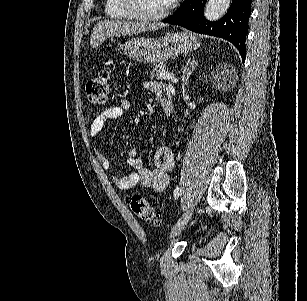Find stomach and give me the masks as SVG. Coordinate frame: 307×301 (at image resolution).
I'll return each instance as SVG.
<instances>
[{
	"instance_id": "obj_1",
	"label": "stomach",
	"mask_w": 307,
	"mask_h": 301,
	"mask_svg": "<svg viewBox=\"0 0 307 301\" xmlns=\"http://www.w3.org/2000/svg\"><path fill=\"white\" fill-rule=\"evenodd\" d=\"M199 46V42L192 32H166L164 36H135L125 42L122 54L138 62H165L168 58H175L177 54L191 52Z\"/></svg>"
}]
</instances>
